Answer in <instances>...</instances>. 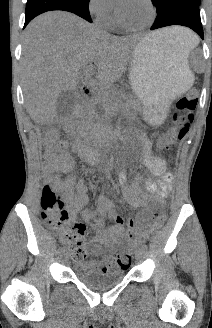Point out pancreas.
Returning a JSON list of instances; mask_svg holds the SVG:
<instances>
[{
    "mask_svg": "<svg viewBox=\"0 0 212 328\" xmlns=\"http://www.w3.org/2000/svg\"><path fill=\"white\" fill-rule=\"evenodd\" d=\"M99 100L105 110L104 114L100 115L96 113L93 104L87 103L83 106L78 117V129L88 140L100 137L104 121L114 114L119 107H122L123 109H134L138 106V102L132 97L127 98L124 102L120 103V106H118V101L114 94H106L99 97Z\"/></svg>",
    "mask_w": 212,
    "mask_h": 328,
    "instance_id": "pancreas-1",
    "label": "pancreas"
}]
</instances>
